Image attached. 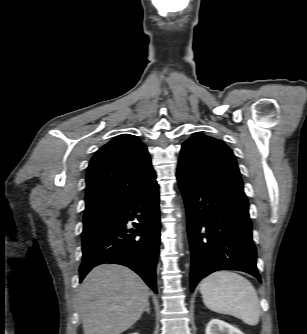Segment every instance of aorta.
Segmentation results:
<instances>
[{"label":"aorta","instance_id":"obj_1","mask_svg":"<svg viewBox=\"0 0 307 334\" xmlns=\"http://www.w3.org/2000/svg\"><path fill=\"white\" fill-rule=\"evenodd\" d=\"M177 217H180V215H179V214H177Z\"/></svg>","mask_w":307,"mask_h":334}]
</instances>
